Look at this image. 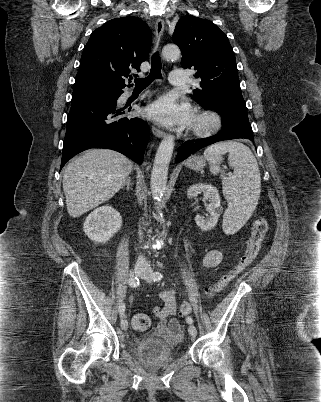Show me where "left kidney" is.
Here are the masks:
<instances>
[{
    "label": "left kidney",
    "instance_id": "left-kidney-1",
    "mask_svg": "<svg viewBox=\"0 0 321 402\" xmlns=\"http://www.w3.org/2000/svg\"><path fill=\"white\" fill-rule=\"evenodd\" d=\"M200 193H203L204 197L209 200V205L207 206L209 217L205 219L204 217L197 215L195 217V222L202 230L209 231L217 224L218 219L223 212V208L221 206L218 190L211 184L198 183L190 186L187 192V197L195 198Z\"/></svg>",
    "mask_w": 321,
    "mask_h": 402
}]
</instances>
